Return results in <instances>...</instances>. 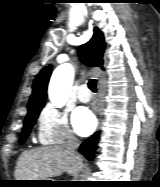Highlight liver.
I'll return each mask as SVG.
<instances>
[{
	"mask_svg": "<svg viewBox=\"0 0 160 187\" xmlns=\"http://www.w3.org/2000/svg\"><path fill=\"white\" fill-rule=\"evenodd\" d=\"M82 160L77 162L65 147L51 146L23 152L15 170L16 180H45L61 175L63 172L78 176Z\"/></svg>",
	"mask_w": 160,
	"mask_h": 187,
	"instance_id": "obj_1",
	"label": "liver"
}]
</instances>
